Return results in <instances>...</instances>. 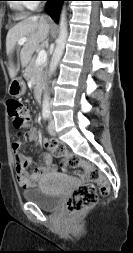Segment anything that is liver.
<instances>
[{
    "instance_id": "6515ba94",
    "label": "liver",
    "mask_w": 133,
    "mask_h": 253,
    "mask_svg": "<svg viewBox=\"0 0 133 253\" xmlns=\"http://www.w3.org/2000/svg\"><path fill=\"white\" fill-rule=\"evenodd\" d=\"M50 30V22L45 17L32 16L24 19L12 27L6 37V52L9 57L13 53L19 39L27 38L28 40L23 44L20 51V61L22 67H25L34 51L39 44L48 36ZM20 66L15 67L12 63L9 64V75L13 80L17 75Z\"/></svg>"
}]
</instances>
